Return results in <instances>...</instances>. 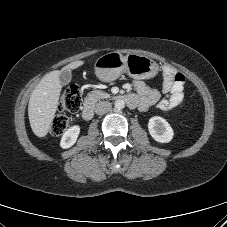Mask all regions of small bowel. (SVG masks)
<instances>
[{
	"label": "small bowel",
	"mask_w": 227,
	"mask_h": 227,
	"mask_svg": "<svg viewBox=\"0 0 227 227\" xmlns=\"http://www.w3.org/2000/svg\"><path fill=\"white\" fill-rule=\"evenodd\" d=\"M137 95V107L141 111H147L156 105L161 111H170L176 108L184 98V77L177 74L171 66L163 68V83L161 90L148 86L143 81L135 82ZM161 94L164 97L161 98Z\"/></svg>",
	"instance_id": "small-bowel-1"
}]
</instances>
